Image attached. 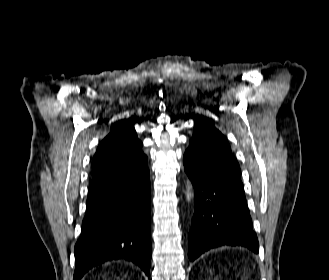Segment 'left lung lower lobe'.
<instances>
[{
  "instance_id": "0a47b994",
  "label": "left lung lower lobe",
  "mask_w": 329,
  "mask_h": 280,
  "mask_svg": "<svg viewBox=\"0 0 329 280\" xmlns=\"http://www.w3.org/2000/svg\"><path fill=\"white\" fill-rule=\"evenodd\" d=\"M185 171L195 192V213L189 232L188 255L191 261L204 252L221 247H245L259 252L253 231L239 165L221 159V176L206 178L191 169L183 159Z\"/></svg>"
}]
</instances>
